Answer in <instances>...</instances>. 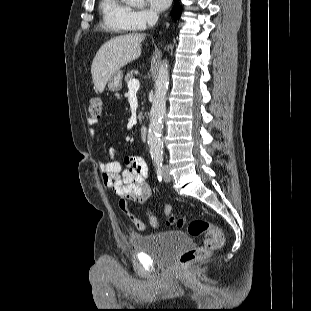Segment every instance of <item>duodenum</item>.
Segmentation results:
<instances>
[{"instance_id":"obj_1","label":"duodenum","mask_w":311,"mask_h":311,"mask_svg":"<svg viewBox=\"0 0 311 311\" xmlns=\"http://www.w3.org/2000/svg\"><path fill=\"white\" fill-rule=\"evenodd\" d=\"M140 138L142 141H146L148 138V128L146 126H142L140 128Z\"/></svg>"}]
</instances>
